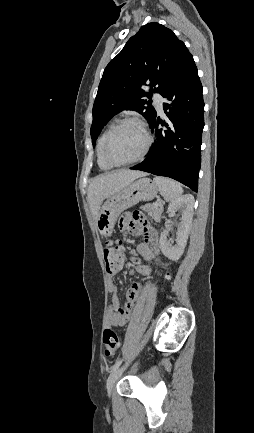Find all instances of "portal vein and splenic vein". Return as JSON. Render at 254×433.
Returning a JSON list of instances; mask_svg holds the SVG:
<instances>
[{
  "label": "portal vein and splenic vein",
  "mask_w": 254,
  "mask_h": 433,
  "mask_svg": "<svg viewBox=\"0 0 254 433\" xmlns=\"http://www.w3.org/2000/svg\"><path fill=\"white\" fill-rule=\"evenodd\" d=\"M159 204H160V202H159V201H157V202L155 203V205H156V206H158Z\"/></svg>",
  "instance_id": "portal-vein-and-splenic-vein-1"
}]
</instances>
